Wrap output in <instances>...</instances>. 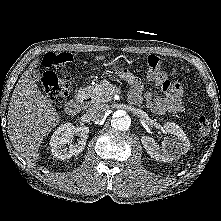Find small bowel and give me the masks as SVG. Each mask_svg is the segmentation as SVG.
I'll list each match as a JSON object with an SVG mask.
<instances>
[{"label":"small bowel","instance_id":"small-bowel-1","mask_svg":"<svg viewBox=\"0 0 221 221\" xmlns=\"http://www.w3.org/2000/svg\"><path fill=\"white\" fill-rule=\"evenodd\" d=\"M119 75L130 85L131 89L128 99L131 103L139 104L144 100L147 107L156 114H164L166 112L180 113L183 111V89L178 82L168 80L166 85H161L163 95H154L148 91L143 92L141 80L128 70H120Z\"/></svg>","mask_w":221,"mask_h":221}]
</instances>
